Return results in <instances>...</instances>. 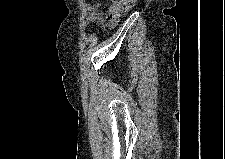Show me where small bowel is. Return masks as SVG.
Wrapping results in <instances>:
<instances>
[{"label": "small bowel", "instance_id": "small-bowel-1", "mask_svg": "<svg viewBox=\"0 0 225 159\" xmlns=\"http://www.w3.org/2000/svg\"><path fill=\"white\" fill-rule=\"evenodd\" d=\"M102 6V0H99L95 3H85V9L87 15L84 19V26L87 28L92 23H98L101 26H104V20L100 8ZM112 14L114 13L113 7L111 9Z\"/></svg>", "mask_w": 225, "mask_h": 159}]
</instances>
